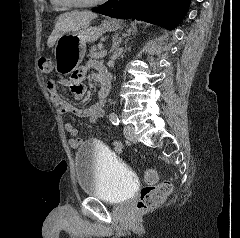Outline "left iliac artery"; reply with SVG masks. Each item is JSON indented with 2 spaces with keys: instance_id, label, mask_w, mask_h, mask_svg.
<instances>
[{
  "instance_id": "obj_1",
  "label": "left iliac artery",
  "mask_w": 240,
  "mask_h": 238,
  "mask_svg": "<svg viewBox=\"0 0 240 238\" xmlns=\"http://www.w3.org/2000/svg\"><path fill=\"white\" fill-rule=\"evenodd\" d=\"M110 121H111L112 124H114V125H119V124H120V120H119L118 116L115 115V114H111V115H110Z\"/></svg>"
}]
</instances>
